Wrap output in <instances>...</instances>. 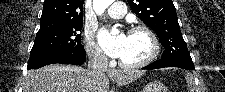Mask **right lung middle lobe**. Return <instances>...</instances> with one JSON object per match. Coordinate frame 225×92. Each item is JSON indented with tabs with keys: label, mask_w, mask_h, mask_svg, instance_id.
Segmentation results:
<instances>
[{
	"label": "right lung middle lobe",
	"mask_w": 225,
	"mask_h": 92,
	"mask_svg": "<svg viewBox=\"0 0 225 92\" xmlns=\"http://www.w3.org/2000/svg\"><path fill=\"white\" fill-rule=\"evenodd\" d=\"M83 22L43 23L36 34L30 56L61 49H80Z\"/></svg>",
	"instance_id": "dd1d6c3e"
}]
</instances>
